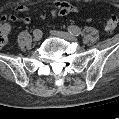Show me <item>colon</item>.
I'll list each match as a JSON object with an SVG mask.
<instances>
[{
	"instance_id": "1",
	"label": "colon",
	"mask_w": 119,
	"mask_h": 119,
	"mask_svg": "<svg viewBox=\"0 0 119 119\" xmlns=\"http://www.w3.org/2000/svg\"><path fill=\"white\" fill-rule=\"evenodd\" d=\"M118 20L116 16H111L105 22V29L107 32L111 33L117 28ZM8 31L1 25L0 27V45H5L8 42Z\"/></svg>"
}]
</instances>
